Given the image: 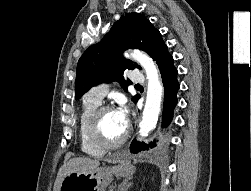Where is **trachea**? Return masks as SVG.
Here are the masks:
<instances>
[{
  "label": "trachea",
  "mask_w": 251,
  "mask_h": 191,
  "mask_svg": "<svg viewBox=\"0 0 251 191\" xmlns=\"http://www.w3.org/2000/svg\"><path fill=\"white\" fill-rule=\"evenodd\" d=\"M135 87H141V85H139V84L137 83V85H135Z\"/></svg>",
  "instance_id": "obj_1"
}]
</instances>
